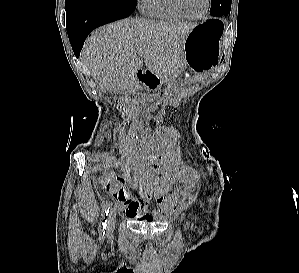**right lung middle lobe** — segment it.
Segmentation results:
<instances>
[{
    "mask_svg": "<svg viewBox=\"0 0 299 273\" xmlns=\"http://www.w3.org/2000/svg\"><path fill=\"white\" fill-rule=\"evenodd\" d=\"M68 1H71V0H65V3H67ZM116 1L127 2V3H136L137 2V0H116Z\"/></svg>",
    "mask_w": 299,
    "mask_h": 273,
    "instance_id": "obj_1",
    "label": "right lung middle lobe"
}]
</instances>
